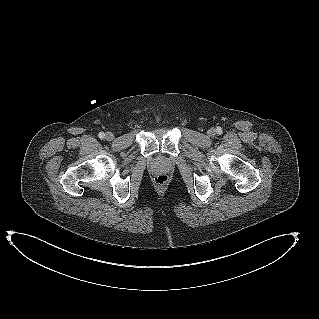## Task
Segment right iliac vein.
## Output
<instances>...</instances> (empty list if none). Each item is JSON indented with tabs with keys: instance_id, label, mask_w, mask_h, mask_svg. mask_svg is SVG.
I'll return each mask as SVG.
<instances>
[{
	"instance_id": "1",
	"label": "right iliac vein",
	"mask_w": 319,
	"mask_h": 319,
	"mask_svg": "<svg viewBox=\"0 0 319 319\" xmlns=\"http://www.w3.org/2000/svg\"><path fill=\"white\" fill-rule=\"evenodd\" d=\"M105 139L108 140V141L113 140L114 139L113 133L107 132L106 135H105Z\"/></svg>"
}]
</instances>
